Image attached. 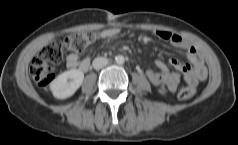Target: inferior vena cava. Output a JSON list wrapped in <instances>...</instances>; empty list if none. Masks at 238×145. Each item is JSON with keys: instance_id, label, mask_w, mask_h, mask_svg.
<instances>
[{"instance_id": "inferior-vena-cava-1", "label": "inferior vena cava", "mask_w": 238, "mask_h": 145, "mask_svg": "<svg viewBox=\"0 0 238 145\" xmlns=\"http://www.w3.org/2000/svg\"><path fill=\"white\" fill-rule=\"evenodd\" d=\"M109 63L108 59L105 57H96L93 62L92 66L95 70H99L107 66Z\"/></svg>"}]
</instances>
